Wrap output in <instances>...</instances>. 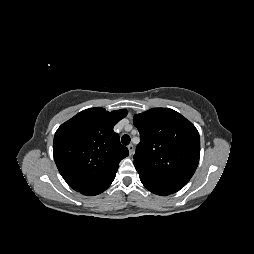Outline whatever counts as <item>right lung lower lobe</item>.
Segmentation results:
<instances>
[{"label":"right lung lower lobe","mask_w":254,"mask_h":254,"mask_svg":"<svg viewBox=\"0 0 254 254\" xmlns=\"http://www.w3.org/2000/svg\"><path fill=\"white\" fill-rule=\"evenodd\" d=\"M114 178H115V175L94 186H90V187L78 190V192L87 196H94V195L100 194L110 186Z\"/></svg>","instance_id":"1"}]
</instances>
